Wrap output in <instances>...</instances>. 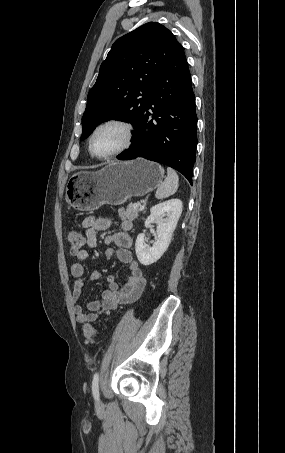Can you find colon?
Here are the masks:
<instances>
[{
  "label": "colon",
  "instance_id": "colon-1",
  "mask_svg": "<svg viewBox=\"0 0 285 453\" xmlns=\"http://www.w3.org/2000/svg\"><path fill=\"white\" fill-rule=\"evenodd\" d=\"M67 240L69 243L70 253L73 256L78 255L84 250L85 236L77 229H74L68 233ZM83 335L86 344H92L96 335V330L93 326L85 324L83 326Z\"/></svg>",
  "mask_w": 285,
  "mask_h": 453
}]
</instances>
